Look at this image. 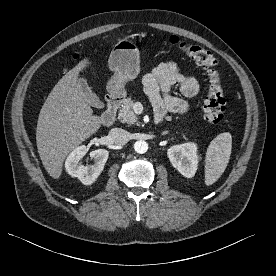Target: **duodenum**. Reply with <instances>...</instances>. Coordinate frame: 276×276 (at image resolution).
Returning <instances> with one entry per match:
<instances>
[{"label":"duodenum","instance_id":"duodenum-1","mask_svg":"<svg viewBox=\"0 0 276 276\" xmlns=\"http://www.w3.org/2000/svg\"><path fill=\"white\" fill-rule=\"evenodd\" d=\"M123 98L120 95L111 94L107 97V106L102 115V123L106 126L114 124L116 121L117 110L122 102ZM163 121L162 115H156L155 123L161 124Z\"/></svg>","mask_w":276,"mask_h":276}]
</instances>
